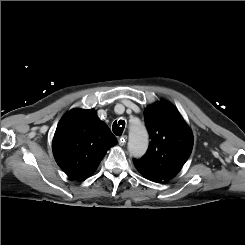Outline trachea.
<instances>
[{
	"label": "trachea",
	"mask_w": 245,
	"mask_h": 245,
	"mask_svg": "<svg viewBox=\"0 0 245 245\" xmlns=\"http://www.w3.org/2000/svg\"><path fill=\"white\" fill-rule=\"evenodd\" d=\"M125 128V121L124 120H117L113 123L112 130L113 133L117 136H121L123 133V130Z\"/></svg>",
	"instance_id": "3493384b"
}]
</instances>
